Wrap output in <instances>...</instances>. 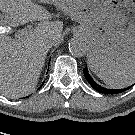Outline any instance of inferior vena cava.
Here are the masks:
<instances>
[{
    "label": "inferior vena cava",
    "mask_w": 135,
    "mask_h": 135,
    "mask_svg": "<svg viewBox=\"0 0 135 135\" xmlns=\"http://www.w3.org/2000/svg\"><path fill=\"white\" fill-rule=\"evenodd\" d=\"M49 43H50V45H53L54 44V41L53 40H50Z\"/></svg>",
    "instance_id": "1"
}]
</instances>
